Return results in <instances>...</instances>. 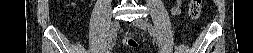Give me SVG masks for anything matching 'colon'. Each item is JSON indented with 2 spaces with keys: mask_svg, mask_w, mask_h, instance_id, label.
<instances>
[{
  "mask_svg": "<svg viewBox=\"0 0 253 53\" xmlns=\"http://www.w3.org/2000/svg\"><path fill=\"white\" fill-rule=\"evenodd\" d=\"M202 0H191L189 4L188 14L192 20H196L201 14ZM126 45L129 47H139L138 41L135 39H127Z\"/></svg>",
  "mask_w": 253,
  "mask_h": 53,
  "instance_id": "obj_1",
  "label": "colon"
}]
</instances>
